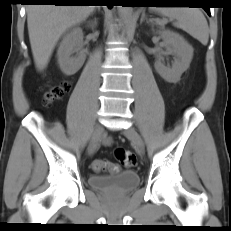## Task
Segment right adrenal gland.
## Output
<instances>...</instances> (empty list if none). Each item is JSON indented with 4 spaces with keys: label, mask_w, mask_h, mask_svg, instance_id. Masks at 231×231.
<instances>
[{
    "label": "right adrenal gland",
    "mask_w": 231,
    "mask_h": 231,
    "mask_svg": "<svg viewBox=\"0 0 231 231\" xmlns=\"http://www.w3.org/2000/svg\"><path fill=\"white\" fill-rule=\"evenodd\" d=\"M100 9H99V7H98V11H99ZM94 12H95V10H93Z\"/></svg>",
    "instance_id": "1"
}]
</instances>
